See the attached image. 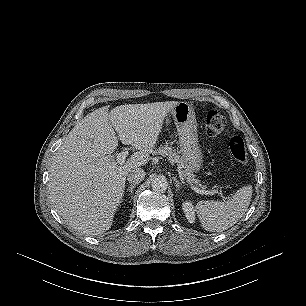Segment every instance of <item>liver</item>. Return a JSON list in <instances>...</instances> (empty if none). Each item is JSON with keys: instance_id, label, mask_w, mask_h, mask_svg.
<instances>
[{"instance_id": "1", "label": "liver", "mask_w": 306, "mask_h": 306, "mask_svg": "<svg viewBox=\"0 0 306 306\" xmlns=\"http://www.w3.org/2000/svg\"><path fill=\"white\" fill-rule=\"evenodd\" d=\"M178 102L99 108L85 116L57 150L49 171L48 194L72 229L89 236L109 230L122 202L128 172L144 166L163 122ZM121 142L138 152L120 165L111 156Z\"/></svg>"}]
</instances>
